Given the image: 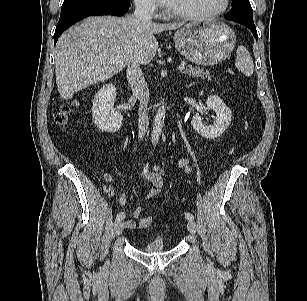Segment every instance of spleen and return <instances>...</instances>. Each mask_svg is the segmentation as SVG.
Segmentation results:
<instances>
[{
    "label": "spleen",
    "instance_id": "3e777b00",
    "mask_svg": "<svg viewBox=\"0 0 307 301\" xmlns=\"http://www.w3.org/2000/svg\"><path fill=\"white\" fill-rule=\"evenodd\" d=\"M236 67L247 77L254 71V64L249 51L242 45L237 49Z\"/></svg>",
    "mask_w": 307,
    "mask_h": 301
}]
</instances>
